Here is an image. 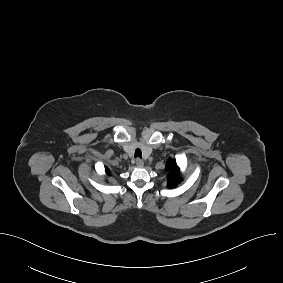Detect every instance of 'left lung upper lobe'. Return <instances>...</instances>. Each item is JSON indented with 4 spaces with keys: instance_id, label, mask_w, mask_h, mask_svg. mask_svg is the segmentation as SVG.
Wrapping results in <instances>:
<instances>
[{
    "instance_id": "obj_1",
    "label": "left lung upper lobe",
    "mask_w": 283,
    "mask_h": 283,
    "mask_svg": "<svg viewBox=\"0 0 283 283\" xmlns=\"http://www.w3.org/2000/svg\"><path fill=\"white\" fill-rule=\"evenodd\" d=\"M166 170L169 171L168 175V187H176L180 182V170L174 159L169 158L166 163Z\"/></svg>"
}]
</instances>
